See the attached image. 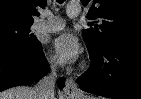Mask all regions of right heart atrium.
<instances>
[{"instance_id":"obj_1","label":"right heart atrium","mask_w":141,"mask_h":99,"mask_svg":"<svg viewBox=\"0 0 141 99\" xmlns=\"http://www.w3.org/2000/svg\"><path fill=\"white\" fill-rule=\"evenodd\" d=\"M48 67L51 71H55L57 69V62L53 57L48 58Z\"/></svg>"}]
</instances>
